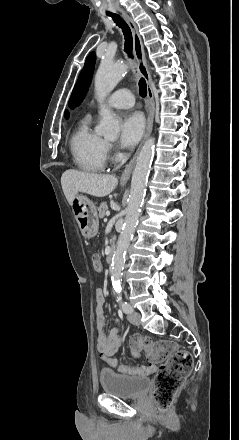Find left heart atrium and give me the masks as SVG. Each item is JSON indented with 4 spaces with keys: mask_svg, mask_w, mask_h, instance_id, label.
<instances>
[{
    "mask_svg": "<svg viewBox=\"0 0 239 440\" xmlns=\"http://www.w3.org/2000/svg\"><path fill=\"white\" fill-rule=\"evenodd\" d=\"M144 131V119L139 112H130L123 115L120 123V145L131 147L135 145Z\"/></svg>",
    "mask_w": 239,
    "mask_h": 440,
    "instance_id": "39dd6f15",
    "label": "left heart atrium"
}]
</instances>
